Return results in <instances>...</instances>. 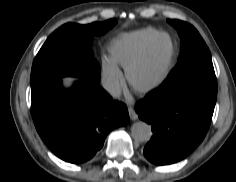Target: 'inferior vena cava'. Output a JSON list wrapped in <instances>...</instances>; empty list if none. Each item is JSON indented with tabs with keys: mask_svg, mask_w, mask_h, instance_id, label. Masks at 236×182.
I'll return each instance as SVG.
<instances>
[{
	"mask_svg": "<svg viewBox=\"0 0 236 182\" xmlns=\"http://www.w3.org/2000/svg\"><path fill=\"white\" fill-rule=\"evenodd\" d=\"M102 86L113 97H119L121 94V86L117 80L104 78Z\"/></svg>",
	"mask_w": 236,
	"mask_h": 182,
	"instance_id": "inferior-vena-cava-1",
	"label": "inferior vena cava"
}]
</instances>
